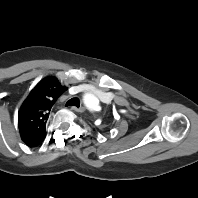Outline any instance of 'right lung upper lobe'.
<instances>
[{"label": "right lung upper lobe", "mask_w": 198, "mask_h": 198, "mask_svg": "<svg viewBox=\"0 0 198 198\" xmlns=\"http://www.w3.org/2000/svg\"><path fill=\"white\" fill-rule=\"evenodd\" d=\"M66 90L56 77H46L23 102L18 113V126L21 138L28 146L35 147L44 140L51 108Z\"/></svg>", "instance_id": "cb5924a9"}]
</instances>
